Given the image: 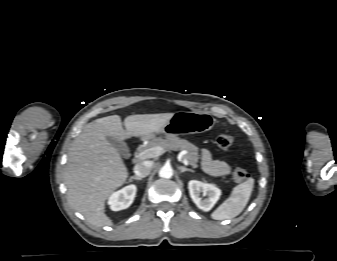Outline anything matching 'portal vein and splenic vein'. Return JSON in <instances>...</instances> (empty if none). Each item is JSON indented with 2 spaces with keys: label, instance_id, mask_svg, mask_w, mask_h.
I'll return each instance as SVG.
<instances>
[{
  "label": "portal vein and splenic vein",
  "instance_id": "1",
  "mask_svg": "<svg viewBox=\"0 0 337 261\" xmlns=\"http://www.w3.org/2000/svg\"><path fill=\"white\" fill-rule=\"evenodd\" d=\"M163 153H164V149L158 146V147H153V148L143 150L142 152L138 154V157L140 159H148V158H154V157L160 156ZM182 162L185 165H188V160L184 157L182 158Z\"/></svg>",
  "mask_w": 337,
  "mask_h": 261
}]
</instances>
